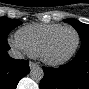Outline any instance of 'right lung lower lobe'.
Returning <instances> with one entry per match:
<instances>
[{
  "label": "right lung lower lobe",
  "mask_w": 89,
  "mask_h": 89,
  "mask_svg": "<svg viewBox=\"0 0 89 89\" xmlns=\"http://www.w3.org/2000/svg\"><path fill=\"white\" fill-rule=\"evenodd\" d=\"M9 49L7 41L0 42V89H15L30 71L29 62L11 58L7 53Z\"/></svg>",
  "instance_id": "obj_1"
}]
</instances>
